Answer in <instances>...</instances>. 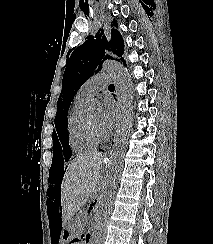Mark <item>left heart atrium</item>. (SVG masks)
<instances>
[{"label":"left heart atrium","instance_id":"obj_1","mask_svg":"<svg viewBox=\"0 0 213 244\" xmlns=\"http://www.w3.org/2000/svg\"><path fill=\"white\" fill-rule=\"evenodd\" d=\"M116 118V106L114 102L107 99L104 103V111L101 119V126L104 132L108 133L112 130Z\"/></svg>","mask_w":213,"mask_h":244}]
</instances>
